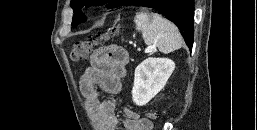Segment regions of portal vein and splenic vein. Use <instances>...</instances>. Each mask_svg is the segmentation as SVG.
Wrapping results in <instances>:
<instances>
[{"instance_id": "18ae733b", "label": "portal vein and splenic vein", "mask_w": 257, "mask_h": 130, "mask_svg": "<svg viewBox=\"0 0 257 130\" xmlns=\"http://www.w3.org/2000/svg\"><path fill=\"white\" fill-rule=\"evenodd\" d=\"M151 51H152V48H147V49L145 50L146 53H149V52H151Z\"/></svg>"}]
</instances>
